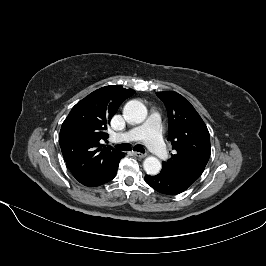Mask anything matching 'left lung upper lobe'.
<instances>
[{
    "label": "left lung upper lobe",
    "instance_id": "1",
    "mask_svg": "<svg viewBox=\"0 0 266 266\" xmlns=\"http://www.w3.org/2000/svg\"><path fill=\"white\" fill-rule=\"evenodd\" d=\"M168 113V140L171 159L162 163V171L178 183L190 187L203 173L210 157V135L194 107L174 91L157 92Z\"/></svg>",
    "mask_w": 266,
    "mask_h": 266
}]
</instances>
